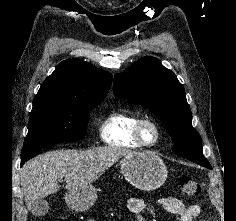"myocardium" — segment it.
<instances>
[{
    "instance_id": "1",
    "label": "myocardium",
    "mask_w": 236,
    "mask_h": 221,
    "mask_svg": "<svg viewBox=\"0 0 236 221\" xmlns=\"http://www.w3.org/2000/svg\"><path fill=\"white\" fill-rule=\"evenodd\" d=\"M146 125H150L155 130V138L153 141L148 142L143 136V129ZM162 135V130L160 125L152 118H140L134 128V138L143 147L155 146Z\"/></svg>"
}]
</instances>
